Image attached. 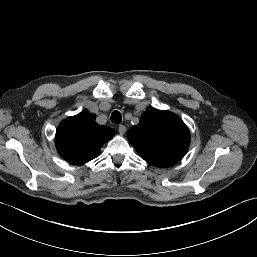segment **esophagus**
<instances>
[{
	"mask_svg": "<svg viewBox=\"0 0 257 257\" xmlns=\"http://www.w3.org/2000/svg\"><path fill=\"white\" fill-rule=\"evenodd\" d=\"M118 131L121 135H124L126 132V127L124 125H119Z\"/></svg>",
	"mask_w": 257,
	"mask_h": 257,
	"instance_id": "34e87169",
	"label": "esophagus"
}]
</instances>
